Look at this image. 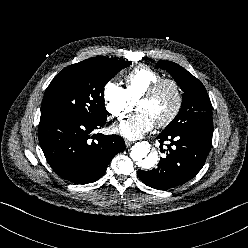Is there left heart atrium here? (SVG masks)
Returning <instances> with one entry per match:
<instances>
[{"label": "left heart atrium", "instance_id": "39dd6f15", "mask_svg": "<svg viewBox=\"0 0 248 248\" xmlns=\"http://www.w3.org/2000/svg\"><path fill=\"white\" fill-rule=\"evenodd\" d=\"M153 120L145 112L127 117L113 126V131L127 139H137L150 131L154 126Z\"/></svg>", "mask_w": 248, "mask_h": 248}]
</instances>
